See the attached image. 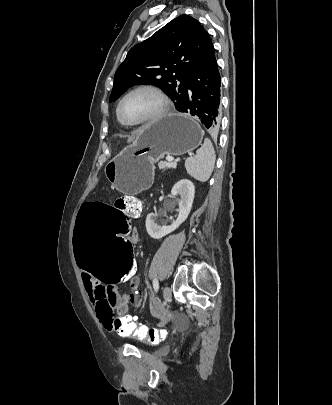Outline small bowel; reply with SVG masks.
I'll return each mask as SVG.
<instances>
[{
  "mask_svg": "<svg viewBox=\"0 0 332 405\" xmlns=\"http://www.w3.org/2000/svg\"><path fill=\"white\" fill-rule=\"evenodd\" d=\"M137 216L138 215H133L132 217L135 218ZM132 235L133 240L137 243L139 233L136 228H132ZM81 270L84 286L102 326L118 334L119 330H116L113 326L115 311L121 316L123 311H129L130 303L132 306H141L143 303L141 297H133V295L137 293L140 284L138 276L135 275L134 281L126 282L129 290L126 293H122L117 287L101 286L99 281L95 280V275H83V268H81ZM155 304L159 306L158 302H155Z\"/></svg>",
  "mask_w": 332,
  "mask_h": 405,
  "instance_id": "1",
  "label": "small bowel"
}]
</instances>
